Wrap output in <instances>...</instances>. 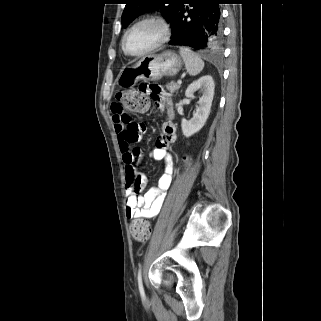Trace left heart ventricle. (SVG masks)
Returning a JSON list of instances; mask_svg holds the SVG:
<instances>
[{"mask_svg": "<svg viewBox=\"0 0 321 321\" xmlns=\"http://www.w3.org/2000/svg\"><path fill=\"white\" fill-rule=\"evenodd\" d=\"M159 36L160 30L156 24H141L129 33L126 40L127 49L131 53H139L153 45Z\"/></svg>", "mask_w": 321, "mask_h": 321, "instance_id": "b2bd125f", "label": "left heart ventricle"}]
</instances>
